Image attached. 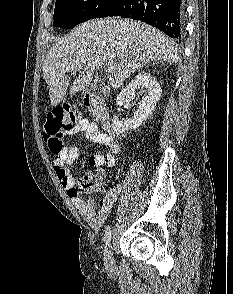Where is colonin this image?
<instances>
[{"label": "colon", "mask_w": 233, "mask_h": 294, "mask_svg": "<svg viewBox=\"0 0 233 294\" xmlns=\"http://www.w3.org/2000/svg\"><path fill=\"white\" fill-rule=\"evenodd\" d=\"M81 120L79 112L69 105L57 106L47 114L43 136L50 152L56 158H60L64 152L65 134ZM78 185L81 192H96L101 188L102 179L97 174H86L80 178Z\"/></svg>", "instance_id": "colon-1"}]
</instances>
